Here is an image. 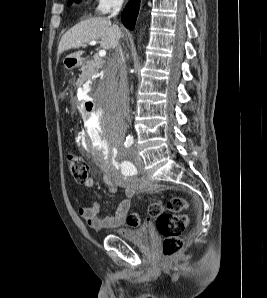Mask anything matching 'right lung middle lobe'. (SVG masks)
Masks as SVG:
<instances>
[{"label": "right lung middle lobe", "mask_w": 267, "mask_h": 298, "mask_svg": "<svg viewBox=\"0 0 267 298\" xmlns=\"http://www.w3.org/2000/svg\"><path fill=\"white\" fill-rule=\"evenodd\" d=\"M73 1L77 2L78 0H69V4H71Z\"/></svg>", "instance_id": "1"}]
</instances>
